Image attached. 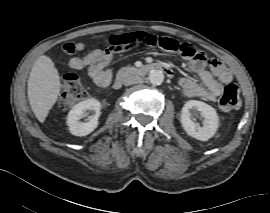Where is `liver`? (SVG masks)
<instances>
[{
  "mask_svg": "<svg viewBox=\"0 0 270 213\" xmlns=\"http://www.w3.org/2000/svg\"><path fill=\"white\" fill-rule=\"evenodd\" d=\"M27 91L31 109L43 123L61 91L60 76L50 57L41 55L36 60L29 75Z\"/></svg>",
  "mask_w": 270,
  "mask_h": 213,
  "instance_id": "1",
  "label": "liver"
}]
</instances>
